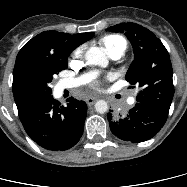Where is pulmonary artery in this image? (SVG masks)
Returning a JSON list of instances; mask_svg holds the SVG:
<instances>
[{
	"label": "pulmonary artery",
	"mask_w": 187,
	"mask_h": 187,
	"mask_svg": "<svg viewBox=\"0 0 187 187\" xmlns=\"http://www.w3.org/2000/svg\"><path fill=\"white\" fill-rule=\"evenodd\" d=\"M123 54H124L123 52L116 51V52L110 53L109 56L113 60H118L123 56ZM87 79H88V76L80 77L77 79L64 80L60 83V87L71 88V87L79 86L83 84ZM129 102L130 103L134 102V98H130Z\"/></svg>",
	"instance_id": "obj_1"
}]
</instances>
